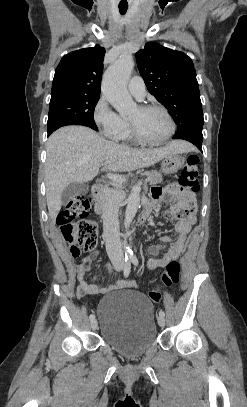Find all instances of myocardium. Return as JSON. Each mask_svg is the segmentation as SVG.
Here are the masks:
<instances>
[{"label":"myocardium","mask_w":247,"mask_h":407,"mask_svg":"<svg viewBox=\"0 0 247 407\" xmlns=\"http://www.w3.org/2000/svg\"><path fill=\"white\" fill-rule=\"evenodd\" d=\"M139 108L141 110H159V111H161L168 119V122L170 125V130L163 139H161L159 141H148L140 135L135 124L128 120L129 130H130V133H131L133 139L137 143H139L141 145H145V146H160V145H163L166 142H168L176 131L175 120H174L173 116L171 115V113L168 111V109L159 104H143V105H140Z\"/></svg>","instance_id":"myocardium-1"}]
</instances>
